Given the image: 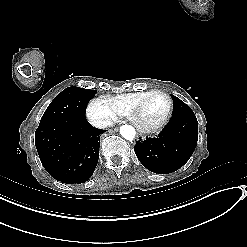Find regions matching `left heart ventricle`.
Returning <instances> with one entry per match:
<instances>
[{
    "mask_svg": "<svg viewBox=\"0 0 247 247\" xmlns=\"http://www.w3.org/2000/svg\"><path fill=\"white\" fill-rule=\"evenodd\" d=\"M167 100L161 95H154L146 99L144 104V113L150 122L159 120L166 109Z\"/></svg>",
    "mask_w": 247,
    "mask_h": 247,
    "instance_id": "1",
    "label": "left heart ventricle"
}]
</instances>
